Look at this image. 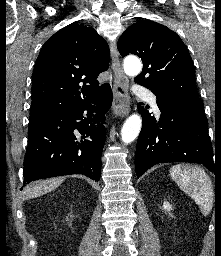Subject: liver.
<instances>
[{
  "instance_id": "1",
  "label": "liver",
  "mask_w": 221,
  "mask_h": 256,
  "mask_svg": "<svg viewBox=\"0 0 221 256\" xmlns=\"http://www.w3.org/2000/svg\"><path fill=\"white\" fill-rule=\"evenodd\" d=\"M64 180V177H55L30 184L23 191L24 197L30 199L41 196L57 188Z\"/></svg>"
}]
</instances>
